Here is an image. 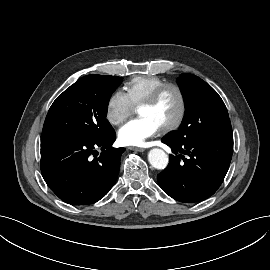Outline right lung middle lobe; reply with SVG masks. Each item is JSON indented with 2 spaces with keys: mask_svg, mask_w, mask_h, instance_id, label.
<instances>
[{
  "mask_svg": "<svg viewBox=\"0 0 270 270\" xmlns=\"http://www.w3.org/2000/svg\"><path fill=\"white\" fill-rule=\"evenodd\" d=\"M121 78L87 75L80 78L51 105L42 136L98 140L114 129L106 119L111 94Z\"/></svg>",
  "mask_w": 270,
  "mask_h": 270,
  "instance_id": "right-lung-middle-lobe-1",
  "label": "right lung middle lobe"
}]
</instances>
